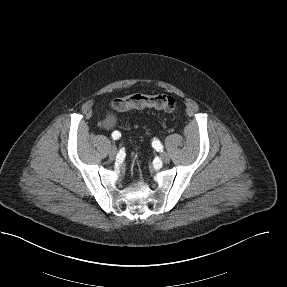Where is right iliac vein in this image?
<instances>
[{"mask_svg": "<svg viewBox=\"0 0 287 287\" xmlns=\"http://www.w3.org/2000/svg\"><path fill=\"white\" fill-rule=\"evenodd\" d=\"M116 155H117V149H116V147L112 146L109 150V157L111 159H115Z\"/></svg>", "mask_w": 287, "mask_h": 287, "instance_id": "1", "label": "right iliac vein"}]
</instances>
